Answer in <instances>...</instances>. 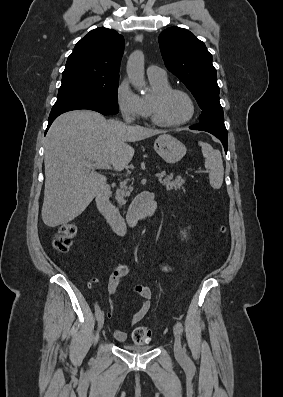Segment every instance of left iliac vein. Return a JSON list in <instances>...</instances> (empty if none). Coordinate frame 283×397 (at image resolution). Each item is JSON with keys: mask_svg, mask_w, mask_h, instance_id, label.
<instances>
[{"mask_svg": "<svg viewBox=\"0 0 283 397\" xmlns=\"http://www.w3.org/2000/svg\"><path fill=\"white\" fill-rule=\"evenodd\" d=\"M174 333V355L176 358L181 359L183 357V351L181 348V340L177 327L173 328Z\"/></svg>", "mask_w": 283, "mask_h": 397, "instance_id": "obj_1", "label": "left iliac vein"}]
</instances>
